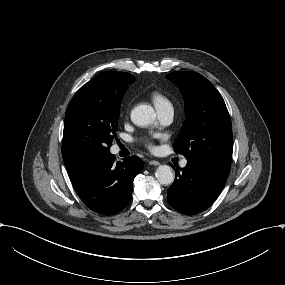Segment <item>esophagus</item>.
Segmentation results:
<instances>
[{
	"instance_id": "esophagus-1",
	"label": "esophagus",
	"mask_w": 285,
	"mask_h": 285,
	"mask_svg": "<svg viewBox=\"0 0 285 285\" xmlns=\"http://www.w3.org/2000/svg\"><path fill=\"white\" fill-rule=\"evenodd\" d=\"M149 164H150V165H154V166L160 165L159 161H155V160L149 161Z\"/></svg>"
}]
</instances>
